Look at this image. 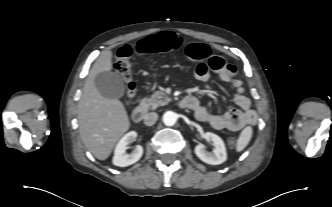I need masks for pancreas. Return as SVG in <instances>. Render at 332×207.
Wrapping results in <instances>:
<instances>
[{
  "mask_svg": "<svg viewBox=\"0 0 332 207\" xmlns=\"http://www.w3.org/2000/svg\"><path fill=\"white\" fill-rule=\"evenodd\" d=\"M170 101L169 97L161 91H156L149 98H144L141 101V107L146 110H154L159 106H164Z\"/></svg>",
  "mask_w": 332,
  "mask_h": 207,
  "instance_id": "cf45deb5",
  "label": "pancreas"
}]
</instances>
